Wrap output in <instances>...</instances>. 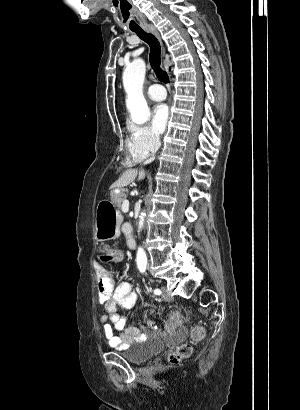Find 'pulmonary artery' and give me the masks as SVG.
<instances>
[{"label":"pulmonary artery","mask_w":300,"mask_h":410,"mask_svg":"<svg viewBox=\"0 0 300 410\" xmlns=\"http://www.w3.org/2000/svg\"><path fill=\"white\" fill-rule=\"evenodd\" d=\"M148 97L153 101H162L166 98V91L159 84L152 85L147 90Z\"/></svg>","instance_id":"pulmonary-artery-1"}]
</instances>
